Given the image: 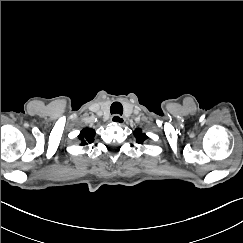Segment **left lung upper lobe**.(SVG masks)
<instances>
[{
  "mask_svg": "<svg viewBox=\"0 0 243 243\" xmlns=\"http://www.w3.org/2000/svg\"><path fill=\"white\" fill-rule=\"evenodd\" d=\"M134 136L136 137L138 143H143L148 138L144 133H142L141 129L135 130Z\"/></svg>",
  "mask_w": 243,
  "mask_h": 243,
  "instance_id": "obj_1",
  "label": "left lung upper lobe"
}]
</instances>
